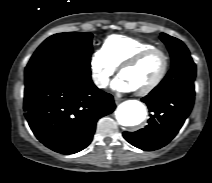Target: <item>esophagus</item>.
<instances>
[{
  "instance_id": "esophagus-1",
  "label": "esophagus",
  "mask_w": 212,
  "mask_h": 183,
  "mask_svg": "<svg viewBox=\"0 0 212 183\" xmlns=\"http://www.w3.org/2000/svg\"><path fill=\"white\" fill-rule=\"evenodd\" d=\"M114 101H115L116 104H118V103H120L122 101V99L119 98V97H115Z\"/></svg>"
}]
</instances>
